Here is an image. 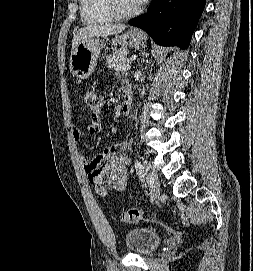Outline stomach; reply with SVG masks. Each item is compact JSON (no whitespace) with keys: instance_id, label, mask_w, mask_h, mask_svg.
<instances>
[{"instance_id":"1","label":"stomach","mask_w":253,"mask_h":271,"mask_svg":"<svg viewBox=\"0 0 253 271\" xmlns=\"http://www.w3.org/2000/svg\"><path fill=\"white\" fill-rule=\"evenodd\" d=\"M115 42L122 46L140 47L144 43V36L138 30H131L117 36L113 40ZM103 44L99 39L88 38L74 47L69 63L74 76L86 79L94 72Z\"/></svg>"}]
</instances>
